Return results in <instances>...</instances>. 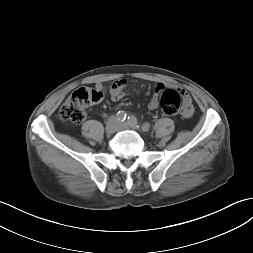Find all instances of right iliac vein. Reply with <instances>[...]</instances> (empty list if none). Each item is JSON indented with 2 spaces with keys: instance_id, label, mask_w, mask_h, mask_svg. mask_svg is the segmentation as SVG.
<instances>
[{
  "instance_id": "1",
  "label": "right iliac vein",
  "mask_w": 253,
  "mask_h": 253,
  "mask_svg": "<svg viewBox=\"0 0 253 253\" xmlns=\"http://www.w3.org/2000/svg\"><path fill=\"white\" fill-rule=\"evenodd\" d=\"M107 134H114L118 130V121L115 117H111L105 127Z\"/></svg>"
}]
</instances>
